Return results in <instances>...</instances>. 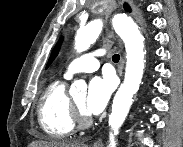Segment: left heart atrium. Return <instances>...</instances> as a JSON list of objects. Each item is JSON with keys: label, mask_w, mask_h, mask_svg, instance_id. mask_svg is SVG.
Listing matches in <instances>:
<instances>
[{"label": "left heart atrium", "mask_w": 183, "mask_h": 147, "mask_svg": "<svg viewBox=\"0 0 183 147\" xmlns=\"http://www.w3.org/2000/svg\"><path fill=\"white\" fill-rule=\"evenodd\" d=\"M114 90V81L109 76L94 77L88 88L87 98L85 100V111L90 115L101 113Z\"/></svg>", "instance_id": "obj_1"}]
</instances>
